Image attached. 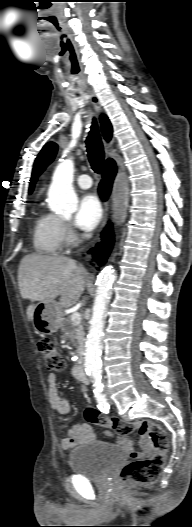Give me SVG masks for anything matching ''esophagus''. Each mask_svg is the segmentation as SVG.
Here are the masks:
<instances>
[{"instance_id": "34e87169", "label": "esophagus", "mask_w": 192, "mask_h": 527, "mask_svg": "<svg viewBox=\"0 0 192 527\" xmlns=\"http://www.w3.org/2000/svg\"><path fill=\"white\" fill-rule=\"evenodd\" d=\"M91 101H92V103H93V105H94L95 110L97 111V113H100V111H101V105H100V102H99L97 96H96L95 94H93V93H91ZM108 207H109L108 202H105V203H104V216H103L102 225H101L102 228H103V227L106 225V223H107V218H108Z\"/></svg>"}]
</instances>
